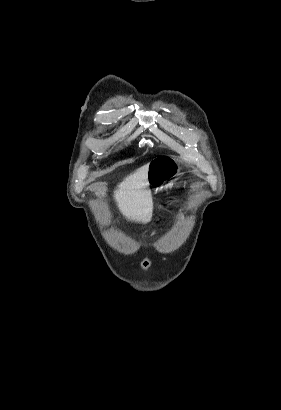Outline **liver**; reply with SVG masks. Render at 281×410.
Listing matches in <instances>:
<instances>
[{
    "label": "liver",
    "instance_id": "1",
    "mask_svg": "<svg viewBox=\"0 0 281 410\" xmlns=\"http://www.w3.org/2000/svg\"><path fill=\"white\" fill-rule=\"evenodd\" d=\"M146 164L127 176L114 192L120 212L129 220L148 223L152 216L153 203L148 187Z\"/></svg>",
    "mask_w": 281,
    "mask_h": 410
}]
</instances>
